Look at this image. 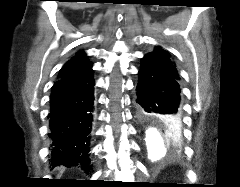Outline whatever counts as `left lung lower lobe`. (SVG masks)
Here are the masks:
<instances>
[{
    "instance_id": "left-lung-lower-lobe-1",
    "label": "left lung lower lobe",
    "mask_w": 240,
    "mask_h": 187,
    "mask_svg": "<svg viewBox=\"0 0 240 187\" xmlns=\"http://www.w3.org/2000/svg\"><path fill=\"white\" fill-rule=\"evenodd\" d=\"M138 76L136 107L139 119L161 120L170 134H174L181 129L178 79L150 55L143 58ZM168 140L179 146V143Z\"/></svg>"
}]
</instances>
